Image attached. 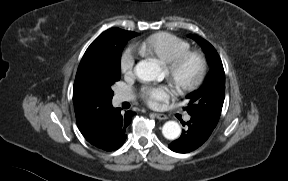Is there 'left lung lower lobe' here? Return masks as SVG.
<instances>
[{
  "instance_id": "obj_1",
  "label": "left lung lower lobe",
  "mask_w": 288,
  "mask_h": 181,
  "mask_svg": "<svg viewBox=\"0 0 288 181\" xmlns=\"http://www.w3.org/2000/svg\"><path fill=\"white\" fill-rule=\"evenodd\" d=\"M185 125L187 129L182 131L180 138L168 145L172 151L188 153L197 149L209 138L217 123L200 115H191Z\"/></svg>"
}]
</instances>
